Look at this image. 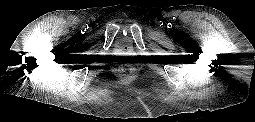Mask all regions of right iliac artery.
Returning <instances> with one entry per match:
<instances>
[{
	"instance_id": "82829eb1",
	"label": "right iliac artery",
	"mask_w": 255,
	"mask_h": 122,
	"mask_svg": "<svg viewBox=\"0 0 255 122\" xmlns=\"http://www.w3.org/2000/svg\"><path fill=\"white\" fill-rule=\"evenodd\" d=\"M84 30L86 31V27L84 26Z\"/></svg>"
}]
</instances>
